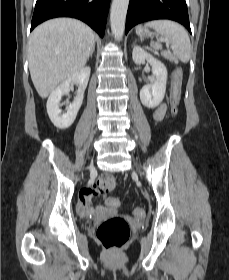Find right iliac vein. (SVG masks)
<instances>
[{"mask_svg":"<svg viewBox=\"0 0 229 280\" xmlns=\"http://www.w3.org/2000/svg\"><path fill=\"white\" fill-rule=\"evenodd\" d=\"M90 170L92 171V170H94V168H93V167H91V168H90Z\"/></svg>","mask_w":229,"mask_h":280,"instance_id":"obj_1","label":"right iliac vein"}]
</instances>
